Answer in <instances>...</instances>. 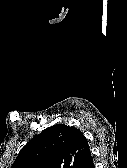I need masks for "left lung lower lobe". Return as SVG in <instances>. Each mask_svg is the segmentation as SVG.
<instances>
[{
	"mask_svg": "<svg viewBox=\"0 0 127 168\" xmlns=\"http://www.w3.org/2000/svg\"><path fill=\"white\" fill-rule=\"evenodd\" d=\"M79 168H94V163L92 160L89 146L87 147V149L84 153V156H83V159H82V162H81V165Z\"/></svg>",
	"mask_w": 127,
	"mask_h": 168,
	"instance_id": "0a47b994",
	"label": "left lung lower lobe"
}]
</instances>
